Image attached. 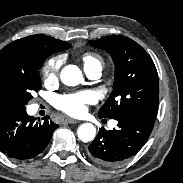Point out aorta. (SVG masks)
I'll list each match as a JSON object with an SVG mask.
<instances>
[{"label":"aorta","instance_id":"762f6f07","mask_svg":"<svg viewBox=\"0 0 183 183\" xmlns=\"http://www.w3.org/2000/svg\"><path fill=\"white\" fill-rule=\"evenodd\" d=\"M60 78L67 86H77L84 82L82 72L76 65L65 66L60 73ZM77 135L82 142L92 141L96 135V128L91 123H83L79 126Z\"/></svg>","mask_w":183,"mask_h":183}]
</instances>
